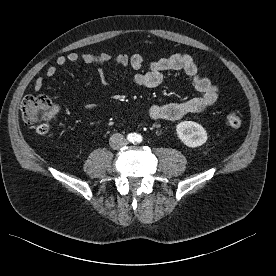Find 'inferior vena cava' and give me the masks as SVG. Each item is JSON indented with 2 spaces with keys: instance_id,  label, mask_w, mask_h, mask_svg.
Wrapping results in <instances>:
<instances>
[{
  "instance_id": "obj_1",
  "label": "inferior vena cava",
  "mask_w": 276,
  "mask_h": 276,
  "mask_svg": "<svg viewBox=\"0 0 276 276\" xmlns=\"http://www.w3.org/2000/svg\"><path fill=\"white\" fill-rule=\"evenodd\" d=\"M109 144L112 149L117 150L127 145V140L120 133H115L110 137Z\"/></svg>"
}]
</instances>
